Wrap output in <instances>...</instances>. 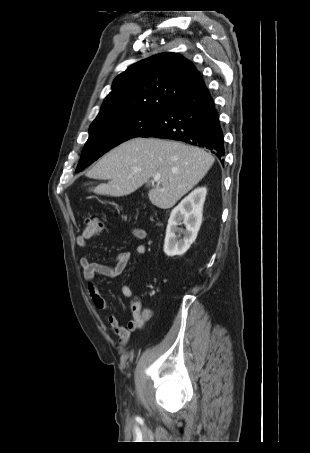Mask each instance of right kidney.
<instances>
[{
  "label": "right kidney",
  "instance_id": "right-kidney-1",
  "mask_svg": "<svg viewBox=\"0 0 310 453\" xmlns=\"http://www.w3.org/2000/svg\"><path fill=\"white\" fill-rule=\"evenodd\" d=\"M206 194V187H198L172 210L164 242V252L167 256L183 255L195 241L202 223ZM181 224L185 225V230L178 227ZM177 233H182L183 239L178 240Z\"/></svg>",
  "mask_w": 310,
  "mask_h": 453
}]
</instances>
